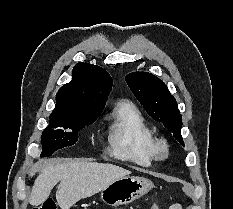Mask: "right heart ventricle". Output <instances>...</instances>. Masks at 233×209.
<instances>
[{
	"label": "right heart ventricle",
	"instance_id": "e07e8e85",
	"mask_svg": "<svg viewBox=\"0 0 233 209\" xmlns=\"http://www.w3.org/2000/svg\"><path fill=\"white\" fill-rule=\"evenodd\" d=\"M110 153L139 166H150L156 159L155 136L139 109L121 100L111 112L109 129Z\"/></svg>",
	"mask_w": 233,
	"mask_h": 209
}]
</instances>
